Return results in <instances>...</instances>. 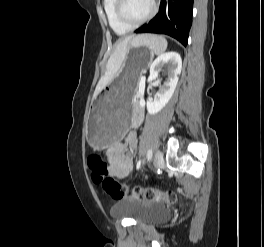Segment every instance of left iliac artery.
Returning <instances> with one entry per match:
<instances>
[{
    "mask_svg": "<svg viewBox=\"0 0 264 247\" xmlns=\"http://www.w3.org/2000/svg\"><path fill=\"white\" fill-rule=\"evenodd\" d=\"M153 151L151 149L147 152V160L149 161L152 158ZM140 164L137 165V168H139Z\"/></svg>",
    "mask_w": 264,
    "mask_h": 247,
    "instance_id": "1",
    "label": "left iliac artery"
}]
</instances>
